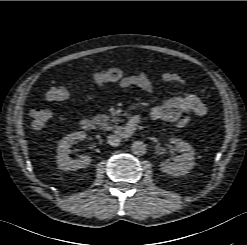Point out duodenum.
Returning a JSON list of instances; mask_svg holds the SVG:
<instances>
[{
  "label": "duodenum",
  "instance_id": "1",
  "mask_svg": "<svg viewBox=\"0 0 247 245\" xmlns=\"http://www.w3.org/2000/svg\"><path fill=\"white\" fill-rule=\"evenodd\" d=\"M142 118L140 116L131 117L124 125H122L117 131L116 135L121 138H129L134 133L136 126L141 122ZM81 127L84 130L90 131L95 127V123L90 118H83L80 122Z\"/></svg>",
  "mask_w": 247,
  "mask_h": 245
}]
</instances>
